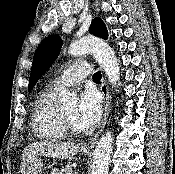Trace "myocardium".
Returning a JSON list of instances; mask_svg holds the SVG:
<instances>
[{"label": "myocardium", "mask_w": 175, "mask_h": 174, "mask_svg": "<svg viewBox=\"0 0 175 174\" xmlns=\"http://www.w3.org/2000/svg\"><path fill=\"white\" fill-rule=\"evenodd\" d=\"M60 120L61 124L64 128V131L67 135L70 136H78L82 133L81 130L75 128L72 123L69 121V119L64 115L63 111L60 110Z\"/></svg>", "instance_id": "myocardium-1"}]
</instances>
